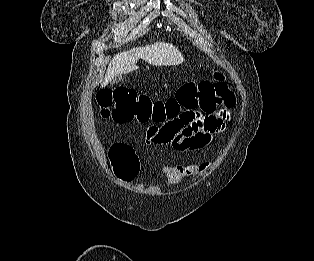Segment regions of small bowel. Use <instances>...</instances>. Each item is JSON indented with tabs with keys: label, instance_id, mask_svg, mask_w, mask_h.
Segmentation results:
<instances>
[{
	"label": "small bowel",
	"instance_id": "c3829d8e",
	"mask_svg": "<svg viewBox=\"0 0 314 261\" xmlns=\"http://www.w3.org/2000/svg\"><path fill=\"white\" fill-rule=\"evenodd\" d=\"M235 98L230 102L217 106L213 111L207 109H183L172 120H164L160 126L149 128L144 134L148 144L156 148H170L172 151H194L207 147L214 136L223 133L229 120V109L234 105ZM204 164H165L162 174L171 185H177L183 178L203 174L209 169Z\"/></svg>",
	"mask_w": 314,
	"mask_h": 261
}]
</instances>
